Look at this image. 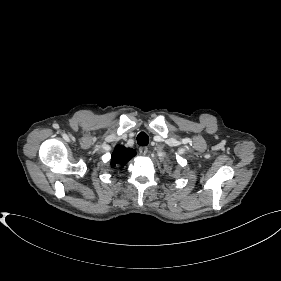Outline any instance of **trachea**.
<instances>
[{"label": "trachea", "instance_id": "obj_1", "mask_svg": "<svg viewBox=\"0 0 281 281\" xmlns=\"http://www.w3.org/2000/svg\"><path fill=\"white\" fill-rule=\"evenodd\" d=\"M137 143L140 146H146L149 143V137L145 132H140L137 136Z\"/></svg>", "mask_w": 281, "mask_h": 281}]
</instances>
